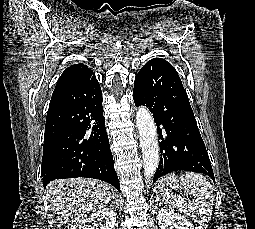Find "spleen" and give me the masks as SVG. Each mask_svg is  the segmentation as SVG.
<instances>
[{
	"mask_svg": "<svg viewBox=\"0 0 255 229\" xmlns=\"http://www.w3.org/2000/svg\"><path fill=\"white\" fill-rule=\"evenodd\" d=\"M179 179L184 186L185 194H191L194 199L190 202L183 195L178 196L164 191L162 197L165 202L200 224L208 222L211 219L214 205L213 188L210 182L202 174L194 172L181 174Z\"/></svg>",
	"mask_w": 255,
	"mask_h": 229,
	"instance_id": "1",
	"label": "spleen"
}]
</instances>
